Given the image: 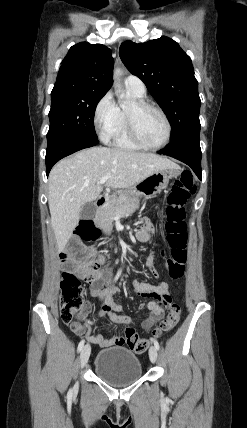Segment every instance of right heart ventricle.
Masks as SVG:
<instances>
[{"mask_svg":"<svg viewBox=\"0 0 247 428\" xmlns=\"http://www.w3.org/2000/svg\"><path fill=\"white\" fill-rule=\"evenodd\" d=\"M129 92L136 100H142L144 97V95H140L132 90H129ZM125 110L124 108H118L117 127L112 137L113 145L124 150H139L141 147L135 144L129 137L126 127Z\"/></svg>","mask_w":247,"mask_h":428,"instance_id":"right-heart-ventricle-1","label":"right heart ventricle"}]
</instances>
